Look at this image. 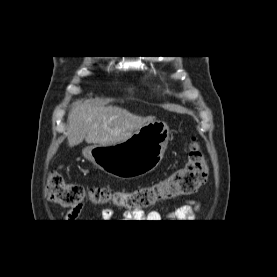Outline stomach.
<instances>
[{
	"mask_svg": "<svg viewBox=\"0 0 277 277\" xmlns=\"http://www.w3.org/2000/svg\"><path fill=\"white\" fill-rule=\"evenodd\" d=\"M169 127L161 121L146 123L127 140L83 149V156L107 174L133 178L153 171L161 162L169 140Z\"/></svg>",
	"mask_w": 277,
	"mask_h": 277,
	"instance_id": "1",
	"label": "stomach"
}]
</instances>
